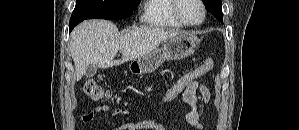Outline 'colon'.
<instances>
[{
	"label": "colon",
	"mask_w": 299,
	"mask_h": 130,
	"mask_svg": "<svg viewBox=\"0 0 299 130\" xmlns=\"http://www.w3.org/2000/svg\"><path fill=\"white\" fill-rule=\"evenodd\" d=\"M214 65L213 59H207L199 67L183 73L164 92L161 99L164 103H169L179 97L185 90L197 83L209 72ZM83 92L92 100L99 101L111 97L110 91L106 90L97 79L90 78L83 85Z\"/></svg>",
	"instance_id": "colon-1"
}]
</instances>
